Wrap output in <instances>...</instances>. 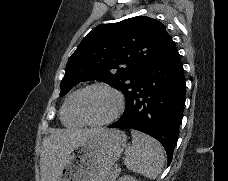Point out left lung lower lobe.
Segmentation results:
<instances>
[{"label":"left lung lower lobe","mask_w":228,"mask_h":181,"mask_svg":"<svg viewBox=\"0 0 228 181\" xmlns=\"http://www.w3.org/2000/svg\"><path fill=\"white\" fill-rule=\"evenodd\" d=\"M185 89L183 65L171 39L137 75L122 117L108 127L154 137L164 146L169 165L182 122Z\"/></svg>","instance_id":"0a47b994"}]
</instances>
